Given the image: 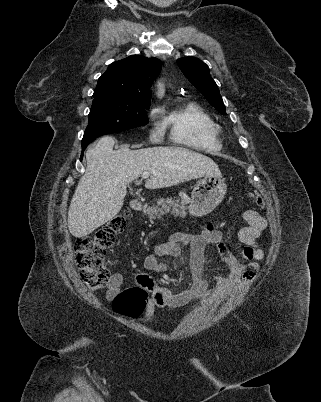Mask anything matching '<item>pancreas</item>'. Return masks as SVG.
I'll use <instances>...</instances> for the list:
<instances>
[{
	"label": "pancreas",
	"instance_id": "cf45deb5",
	"mask_svg": "<svg viewBox=\"0 0 321 402\" xmlns=\"http://www.w3.org/2000/svg\"><path fill=\"white\" fill-rule=\"evenodd\" d=\"M189 201V198H181L176 200L172 198H161L157 201L156 206L148 207L145 213L150 219L158 218L169 212L175 216L184 218L186 216V205L189 203Z\"/></svg>",
	"mask_w": 321,
	"mask_h": 402
}]
</instances>
